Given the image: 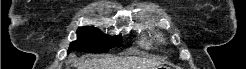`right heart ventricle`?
<instances>
[{
	"label": "right heart ventricle",
	"instance_id": "1",
	"mask_svg": "<svg viewBox=\"0 0 246 69\" xmlns=\"http://www.w3.org/2000/svg\"><path fill=\"white\" fill-rule=\"evenodd\" d=\"M142 45L146 47L148 44L146 42H143Z\"/></svg>",
	"mask_w": 246,
	"mask_h": 69
}]
</instances>
